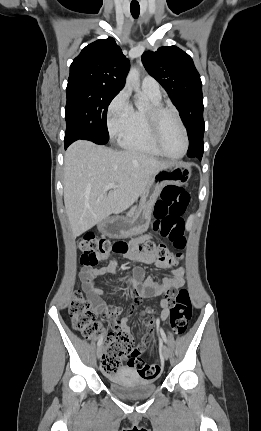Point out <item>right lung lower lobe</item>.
Here are the masks:
<instances>
[{
    "label": "right lung lower lobe",
    "mask_w": 261,
    "mask_h": 431,
    "mask_svg": "<svg viewBox=\"0 0 261 431\" xmlns=\"http://www.w3.org/2000/svg\"><path fill=\"white\" fill-rule=\"evenodd\" d=\"M64 144H65V149L70 145L69 142H64Z\"/></svg>",
    "instance_id": "obj_1"
}]
</instances>
